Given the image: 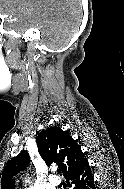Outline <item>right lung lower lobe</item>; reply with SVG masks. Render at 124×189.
<instances>
[{"label":"right lung lower lobe","instance_id":"1","mask_svg":"<svg viewBox=\"0 0 124 189\" xmlns=\"http://www.w3.org/2000/svg\"><path fill=\"white\" fill-rule=\"evenodd\" d=\"M64 177L71 189H96L94 178L87 160Z\"/></svg>","mask_w":124,"mask_h":189}]
</instances>
